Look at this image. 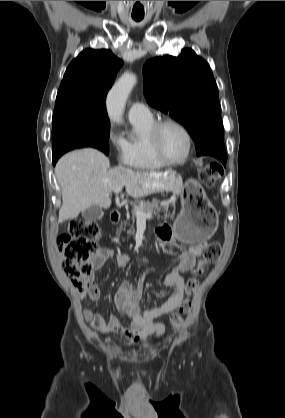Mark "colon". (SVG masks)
<instances>
[{
	"label": "colon",
	"instance_id": "obj_1",
	"mask_svg": "<svg viewBox=\"0 0 285 418\" xmlns=\"http://www.w3.org/2000/svg\"><path fill=\"white\" fill-rule=\"evenodd\" d=\"M222 175V167L208 163L202 169L200 181L205 186H212ZM99 237L98 225L81 219L71 220L66 231L58 237L57 242L62 253L64 271L71 282L81 289H86L89 286L91 267L88 259L97 253ZM221 251L222 246L218 241L207 243L204 246L196 267V276L191 277L187 282L188 296L181 304L179 312L171 317L174 329H179L182 326L183 316L191 310V296L198 285L197 275L203 272L208 263L216 261L220 257Z\"/></svg>",
	"mask_w": 285,
	"mask_h": 418
}]
</instances>
